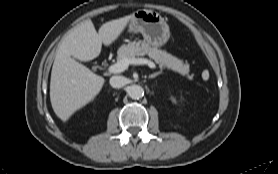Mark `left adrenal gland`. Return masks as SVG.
I'll list each match as a JSON object with an SVG mask.
<instances>
[{
  "label": "left adrenal gland",
  "instance_id": "left-adrenal-gland-1",
  "mask_svg": "<svg viewBox=\"0 0 278 174\" xmlns=\"http://www.w3.org/2000/svg\"><path fill=\"white\" fill-rule=\"evenodd\" d=\"M161 73H162L161 71L156 72V73H154V74L149 75L148 78H149V79H153V78L157 77L158 75H160Z\"/></svg>",
  "mask_w": 278,
  "mask_h": 174
}]
</instances>
